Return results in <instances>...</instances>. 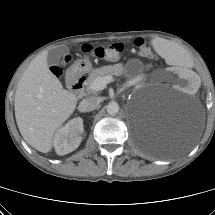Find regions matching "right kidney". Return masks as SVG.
Instances as JSON below:
<instances>
[{"mask_svg": "<svg viewBox=\"0 0 215 215\" xmlns=\"http://www.w3.org/2000/svg\"><path fill=\"white\" fill-rule=\"evenodd\" d=\"M83 131V119L80 117L70 120L58 129L53 139L56 153L65 155L74 151L82 141Z\"/></svg>", "mask_w": 215, "mask_h": 215, "instance_id": "right-kidney-1", "label": "right kidney"}]
</instances>
